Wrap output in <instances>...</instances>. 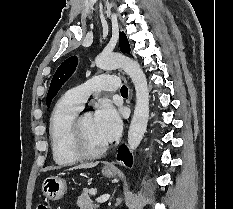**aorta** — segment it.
Listing matches in <instances>:
<instances>
[{
  "instance_id": "762f6f07",
  "label": "aorta",
  "mask_w": 233,
  "mask_h": 209,
  "mask_svg": "<svg viewBox=\"0 0 233 209\" xmlns=\"http://www.w3.org/2000/svg\"><path fill=\"white\" fill-rule=\"evenodd\" d=\"M97 67L104 70L121 68L131 78L136 91V105L128 131V147L134 151L140 144L149 118V88L139 63L121 54H100L95 59Z\"/></svg>"
}]
</instances>
